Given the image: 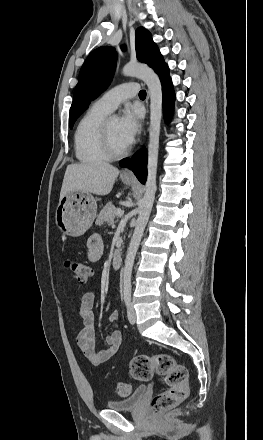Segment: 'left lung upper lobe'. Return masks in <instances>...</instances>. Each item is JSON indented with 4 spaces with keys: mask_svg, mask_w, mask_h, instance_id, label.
<instances>
[{
    "mask_svg": "<svg viewBox=\"0 0 263 440\" xmlns=\"http://www.w3.org/2000/svg\"><path fill=\"white\" fill-rule=\"evenodd\" d=\"M135 48L137 59L154 70L165 64L151 34L143 27L136 30ZM115 63L116 51L112 47H99L89 54L80 70L78 84L74 90L70 108V128L90 102L110 84Z\"/></svg>",
    "mask_w": 263,
    "mask_h": 440,
    "instance_id": "5c2ea615",
    "label": "left lung upper lobe"
}]
</instances>
